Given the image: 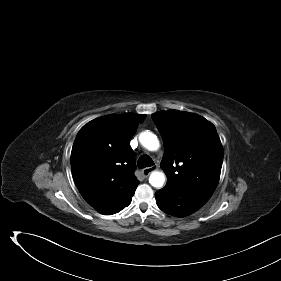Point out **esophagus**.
Returning a JSON list of instances; mask_svg holds the SVG:
<instances>
[{"mask_svg": "<svg viewBox=\"0 0 281 281\" xmlns=\"http://www.w3.org/2000/svg\"><path fill=\"white\" fill-rule=\"evenodd\" d=\"M156 169H157V165H154V166H151V167L144 168L142 170V173H143L144 176H148L150 173H152Z\"/></svg>", "mask_w": 281, "mask_h": 281, "instance_id": "34e87169", "label": "esophagus"}]
</instances>
